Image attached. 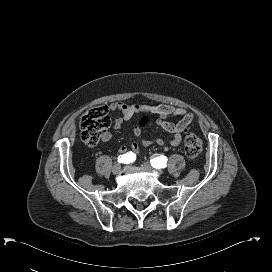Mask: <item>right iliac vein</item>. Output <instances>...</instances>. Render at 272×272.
Returning <instances> with one entry per match:
<instances>
[{
  "mask_svg": "<svg viewBox=\"0 0 272 272\" xmlns=\"http://www.w3.org/2000/svg\"><path fill=\"white\" fill-rule=\"evenodd\" d=\"M121 171V165L119 163L115 164L112 168V173L113 174H118Z\"/></svg>",
  "mask_w": 272,
  "mask_h": 272,
  "instance_id": "63e3f726",
  "label": "right iliac vein"
}]
</instances>
